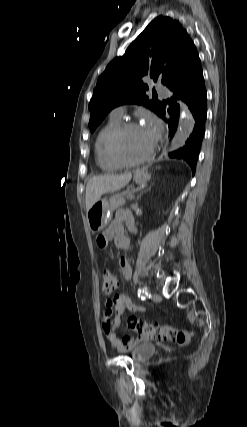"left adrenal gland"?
<instances>
[{
  "instance_id": "a2214340",
  "label": "left adrenal gland",
  "mask_w": 247,
  "mask_h": 427,
  "mask_svg": "<svg viewBox=\"0 0 247 427\" xmlns=\"http://www.w3.org/2000/svg\"><path fill=\"white\" fill-rule=\"evenodd\" d=\"M150 189H151V187H149L147 190H145V191L141 192V193L137 196V198H136V203H137V202H138V200L141 198L142 194H143L144 192H146V191L150 190Z\"/></svg>"
}]
</instances>
